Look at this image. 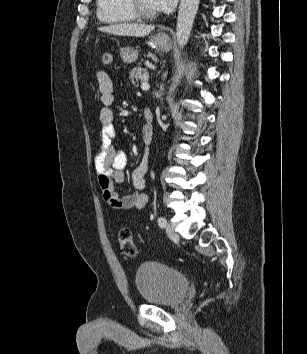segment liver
Segmentation results:
<instances>
[{
    "label": "liver",
    "mask_w": 307,
    "mask_h": 354,
    "mask_svg": "<svg viewBox=\"0 0 307 354\" xmlns=\"http://www.w3.org/2000/svg\"><path fill=\"white\" fill-rule=\"evenodd\" d=\"M154 26L136 24V23H120L110 26L99 27L98 30L104 33H110L118 36H133V37H144L148 35Z\"/></svg>",
    "instance_id": "1"
}]
</instances>
